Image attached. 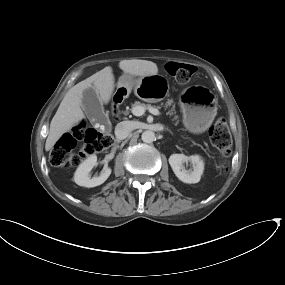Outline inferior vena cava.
<instances>
[{
    "label": "inferior vena cava",
    "mask_w": 285,
    "mask_h": 285,
    "mask_svg": "<svg viewBox=\"0 0 285 285\" xmlns=\"http://www.w3.org/2000/svg\"><path fill=\"white\" fill-rule=\"evenodd\" d=\"M133 125L130 121H122L115 127V135L119 139H125L133 131Z\"/></svg>",
    "instance_id": "602c4592"
}]
</instances>
